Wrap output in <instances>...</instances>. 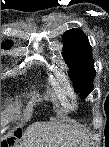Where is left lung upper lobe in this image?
Segmentation results:
<instances>
[{
	"mask_svg": "<svg viewBox=\"0 0 109 147\" xmlns=\"http://www.w3.org/2000/svg\"><path fill=\"white\" fill-rule=\"evenodd\" d=\"M63 56L69 67L75 91L85 98L93 90L95 77L92 48L80 29H71L63 35Z\"/></svg>",
	"mask_w": 109,
	"mask_h": 147,
	"instance_id": "left-lung-upper-lobe-1",
	"label": "left lung upper lobe"
}]
</instances>
